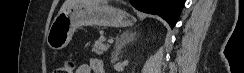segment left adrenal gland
I'll use <instances>...</instances> for the list:
<instances>
[{
  "label": "left adrenal gland",
  "instance_id": "1",
  "mask_svg": "<svg viewBox=\"0 0 244 73\" xmlns=\"http://www.w3.org/2000/svg\"><path fill=\"white\" fill-rule=\"evenodd\" d=\"M135 33L126 31L116 40L114 55L117 57L122 52V49L130 42L135 40Z\"/></svg>",
  "mask_w": 244,
  "mask_h": 73
}]
</instances>
